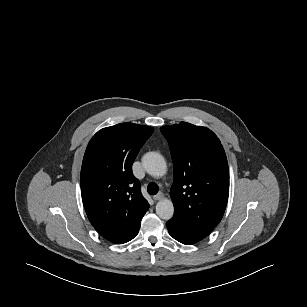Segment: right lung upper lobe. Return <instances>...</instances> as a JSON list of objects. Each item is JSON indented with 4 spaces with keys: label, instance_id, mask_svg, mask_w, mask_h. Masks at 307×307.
<instances>
[{
    "label": "right lung upper lobe",
    "instance_id": "cb5924a9",
    "mask_svg": "<svg viewBox=\"0 0 307 307\" xmlns=\"http://www.w3.org/2000/svg\"><path fill=\"white\" fill-rule=\"evenodd\" d=\"M154 129L121 123L98 131L90 140L81 168V195L87 216L107 240L126 243L139 232L149 209L132 164Z\"/></svg>",
    "mask_w": 307,
    "mask_h": 307
}]
</instances>
